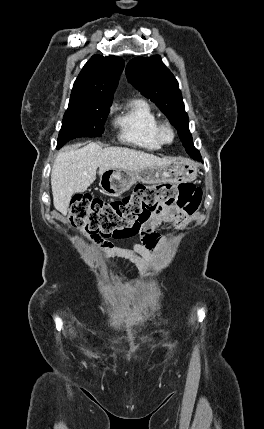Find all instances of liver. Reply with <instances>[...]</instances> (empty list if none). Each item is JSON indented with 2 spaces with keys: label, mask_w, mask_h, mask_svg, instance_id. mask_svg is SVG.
I'll return each instance as SVG.
<instances>
[{
  "label": "liver",
  "mask_w": 264,
  "mask_h": 429,
  "mask_svg": "<svg viewBox=\"0 0 264 429\" xmlns=\"http://www.w3.org/2000/svg\"><path fill=\"white\" fill-rule=\"evenodd\" d=\"M175 158H159L153 154L121 147L102 148L90 143L82 148L60 151L55 159L51 187L54 207L63 215L75 193L85 192L99 175L110 169L137 172L147 167L167 166Z\"/></svg>",
  "instance_id": "6515ba94"
}]
</instances>
